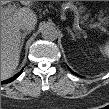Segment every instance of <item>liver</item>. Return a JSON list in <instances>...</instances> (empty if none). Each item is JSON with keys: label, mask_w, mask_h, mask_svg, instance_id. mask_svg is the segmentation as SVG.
Segmentation results:
<instances>
[{"label": "liver", "mask_w": 109, "mask_h": 109, "mask_svg": "<svg viewBox=\"0 0 109 109\" xmlns=\"http://www.w3.org/2000/svg\"><path fill=\"white\" fill-rule=\"evenodd\" d=\"M23 5L29 6L31 2L23 1ZM8 9V8H6ZM6 9H3L6 10ZM30 21L37 23L36 14L29 8L23 7L17 10H9L2 13L1 18V77L7 79L16 70L20 58L21 33L20 24Z\"/></svg>", "instance_id": "obj_1"}]
</instances>
